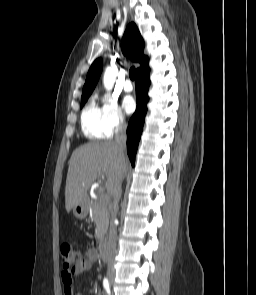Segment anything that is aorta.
Returning a JSON list of instances; mask_svg holds the SVG:
<instances>
[{
    "label": "aorta",
    "mask_w": 256,
    "mask_h": 295,
    "mask_svg": "<svg viewBox=\"0 0 256 295\" xmlns=\"http://www.w3.org/2000/svg\"><path fill=\"white\" fill-rule=\"evenodd\" d=\"M116 76H117V67L115 65H111L105 70V73L103 76V84L108 91L112 90L116 80Z\"/></svg>",
    "instance_id": "762f6f07"
}]
</instances>
